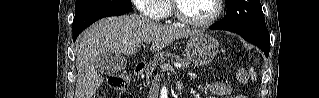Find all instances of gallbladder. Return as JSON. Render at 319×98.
<instances>
[{
  "label": "gallbladder",
  "mask_w": 319,
  "mask_h": 98,
  "mask_svg": "<svg viewBox=\"0 0 319 98\" xmlns=\"http://www.w3.org/2000/svg\"><path fill=\"white\" fill-rule=\"evenodd\" d=\"M127 60L118 54H103L97 58V66L101 73H113L123 70Z\"/></svg>",
  "instance_id": "obj_1"
}]
</instances>
